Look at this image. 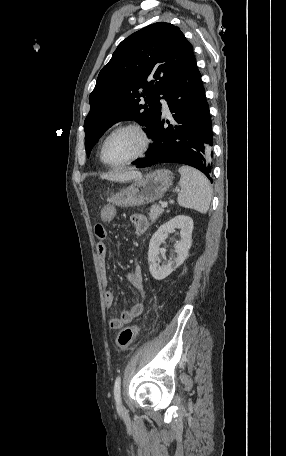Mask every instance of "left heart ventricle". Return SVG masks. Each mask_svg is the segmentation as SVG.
<instances>
[{"label": "left heart ventricle", "instance_id": "left-heart-ventricle-1", "mask_svg": "<svg viewBox=\"0 0 286 456\" xmlns=\"http://www.w3.org/2000/svg\"><path fill=\"white\" fill-rule=\"evenodd\" d=\"M143 145L140 134L127 129L116 133L107 143L105 156L113 164L122 163L137 155Z\"/></svg>", "mask_w": 286, "mask_h": 456}]
</instances>
